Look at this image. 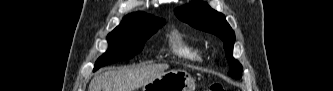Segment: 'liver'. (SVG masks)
Segmentation results:
<instances>
[{"label": "liver", "mask_w": 333, "mask_h": 91, "mask_svg": "<svg viewBox=\"0 0 333 91\" xmlns=\"http://www.w3.org/2000/svg\"><path fill=\"white\" fill-rule=\"evenodd\" d=\"M168 67L167 64H142L109 70L95 76L88 91H135L163 74Z\"/></svg>", "instance_id": "6515ba94"}]
</instances>
